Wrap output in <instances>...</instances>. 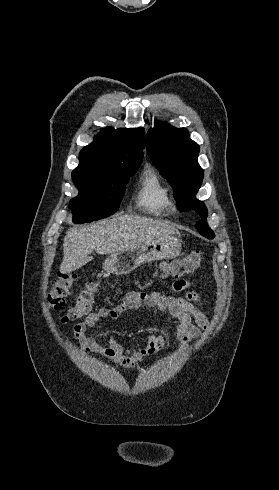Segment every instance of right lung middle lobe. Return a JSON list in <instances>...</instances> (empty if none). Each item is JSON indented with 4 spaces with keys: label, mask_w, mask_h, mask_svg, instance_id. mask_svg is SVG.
I'll return each instance as SVG.
<instances>
[{
    "label": "right lung middle lobe",
    "mask_w": 279,
    "mask_h": 490,
    "mask_svg": "<svg viewBox=\"0 0 279 490\" xmlns=\"http://www.w3.org/2000/svg\"><path fill=\"white\" fill-rule=\"evenodd\" d=\"M137 167L122 168L112 174L96 177L72 174L79 195L70 201L73 222L76 224L96 221L114 214L123 198L125 186Z\"/></svg>",
    "instance_id": "right-lung-middle-lobe-1"
}]
</instances>
